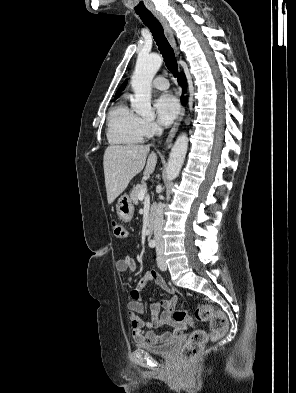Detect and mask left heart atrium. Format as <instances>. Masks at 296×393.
I'll return each mask as SVG.
<instances>
[{
    "label": "left heart atrium",
    "instance_id": "1",
    "mask_svg": "<svg viewBox=\"0 0 296 393\" xmlns=\"http://www.w3.org/2000/svg\"><path fill=\"white\" fill-rule=\"evenodd\" d=\"M159 122L167 126L173 122L179 113L177 100L170 94L160 96L154 104Z\"/></svg>",
    "mask_w": 296,
    "mask_h": 393
}]
</instances>
